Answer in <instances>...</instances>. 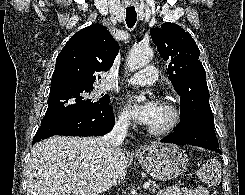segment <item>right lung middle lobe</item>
Instances as JSON below:
<instances>
[{
  "label": "right lung middle lobe",
  "instance_id": "dd1d6c3e",
  "mask_svg": "<svg viewBox=\"0 0 245 195\" xmlns=\"http://www.w3.org/2000/svg\"><path fill=\"white\" fill-rule=\"evenodd\" d=\"M93 86L70 87L50 93L48 108L41 125L62 116L90 110L99 104H109V95L101 94L100 98H93Z\"/></svg>",
  "mask_w": 245,
  "mask_h": 195
}]
</instances>
